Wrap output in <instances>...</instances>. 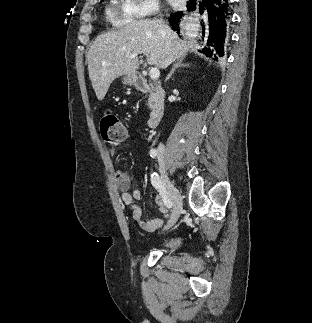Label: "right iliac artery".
Here are the masks:
<instances>
[{
    "label": "right iliac artery",
    "instance_id": "right-iliac-artery-1",
    "mask_svg": "<svg viewBox=\"0 0 312 323\" xmlns=\"http://www.w3.org/2000/svg\"><path fill=\"white\" fill-rule=\"evenodd\" d=\"M151 157H156L158 155L157 151H151L150 152ZM151 183L155 187V189L158 190L159 194L162 197L163 202L168 208H171L173 206L172 201L168 198L166 189L162 183V180L160 179L159 175L154 172L151 174Z\"/></svg>",
    "mask_w": 312,
    "mask_h": 323
}]
</instances>
